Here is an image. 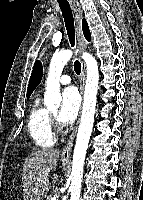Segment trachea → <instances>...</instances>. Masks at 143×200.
<instances>
[{"label": "trachea", "mask_w": 143, "mask_h": 200, "mask_svg": "<svg viewBox=\"0 0 143 200\" xmlns=\"http://www.w3.org/2000/svg\"><path fill=\"white\" fill-rule=\"evenodd\" d=\"M62 11V16L64 18L65 27L69 37V41L72 47L75 45V28H74V18L67 0H57ZM74 70L77 75L81 73V63L76 60L74 62Z\"/></svg>", "instance_id": "trachea-1"}]
</instances>
